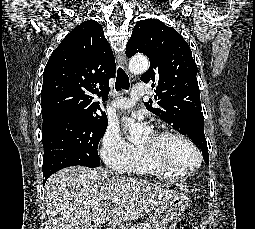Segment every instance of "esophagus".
<instances>
[{"label":"esophagus","instance_id":"esophagus-1","mask_svg":"<svg viewBox=\"0 0 255 229\" xmlns=\"http://www.w3.org/2000/svg\"><path fill=\"white\" fill-rule=\"evenodd\" d=\"M116 60L119 64V66H121L125 70V72L130 76V78H132L133 75H131L129 73L128 62H127V58H126L125 54L123 52H118L116 54Z\"/></svg>","mask_w":255,"mask_h":229}]
</instances>
